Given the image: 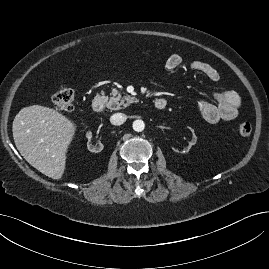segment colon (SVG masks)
I'll return each instance as SVG.
<instances>
[{"mask_svg": "<svg viewBox=\"0 0 269 269\" xmlns=\"http://www.w3.org/2000/svg\"><path fill=\"white\" fill-rule=\"evenodd\" d=\"M52 101L58 111L70 112L75 106V91L70 85L61 83L54 91ZM237 131L240 136L247 137L252 132V125L248 121H241L237 126Z\"/></svg>", "mask_w": 269, "mask_h": 269, "instance_id": "1", "label": "colon"}]
</instances>
